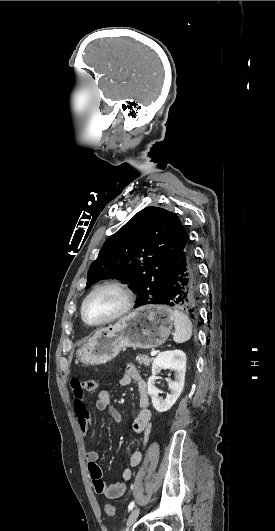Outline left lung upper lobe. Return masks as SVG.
Here are the masks:
<instances>
[{
    "mask_svg": "<svg viewBox=\"0 0 275 531\" xmlns=\"http://www.w3.org/2000/svg\"><path fill=\"white\" fill-rule=\"evenodd\" d=\"M187 241L176 214L146 207L104 243L88 271L86 289L101 279L117 278L128 281L137 294L135 307L158 303Z\"/></svg>",
    "mask_w": 275,
    "mask_h": 531,
    "instance_id": "obj_1",
    "label": "left lung upper lobe"
}]
</instances>
